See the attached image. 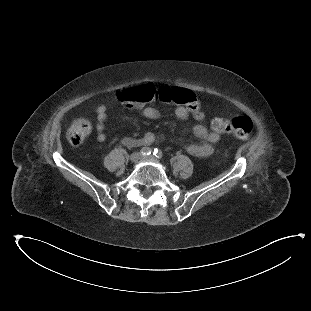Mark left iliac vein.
I'll return each instance as SVG.
<instances>
[{
    "label": "left iliac vein",
    "instance_id": "obj_1",
    "mask_svg": "<svg viewBox=\"0 0 311 311\" xmlns=\"http://www.w3.org/2000/svg\"><path fill=\"white\" fill-rule=\"evenodd\" d=\"M142 159L145 161H156V159L153 156H144Z\"/></svg>",
    "mask_w": 311,
    "mask_h": 311
}]
</instances>
